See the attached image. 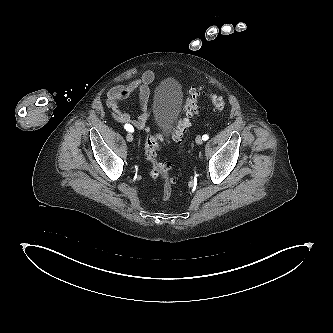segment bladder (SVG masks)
Returning <instances> with one entry per match:
<instances>
[{
    "instance_id": "obj_1",
    "label": "bladder",
    "mask_w": 333,
    "mask_h": 333,
    "mask_svg": "<svg viewBox=\"0 0 333 333\" xmlns=\"http://www.w3.org/2000/svg\"><path fill=\"white\" fill-rule=\"evenodd\" d=\"M183 101L180 83L174 78H165L157 86L152 114L158 125L168 126L178 116Z\"/></svg>"
}]
</instances>
